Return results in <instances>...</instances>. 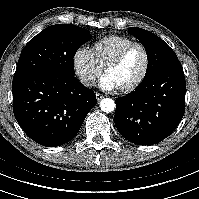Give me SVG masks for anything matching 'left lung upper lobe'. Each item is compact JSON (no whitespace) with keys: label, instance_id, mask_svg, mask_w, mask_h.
Returning <instances> with one entry per match:
<instances>
[{"label":"left lung upper lobe","instance_id":"1","mask_svg":"<svg viewBox=\"0 0 199 199\" xmlns=\"http://www.w3.org/2000/svg\"><path fill=\"white\" fill-rule=\"evenodd\" d=\"M128 33L137 37L145 47L148 67L144 78L150 76L164 65L178 60L175 52L154 33L137 27L129 28Z\"/></svg>","mask_w":199,"mask_h":199}]
</instances>
